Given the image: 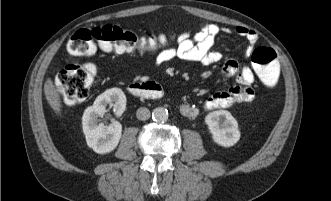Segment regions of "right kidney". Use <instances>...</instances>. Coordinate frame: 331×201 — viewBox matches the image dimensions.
Returning <instances> with one entry per match:
<instances>
[{"label":"right kidney","mask_w":331,"mask_h":201,"mask_svg":"<svg viewBox=\"0 0 331 201\" xmlns=\"http://www.w3.org/2000/svg\"><path fill=\"white\" fill-rule=\"evenodd\" d=\"M113 107L117 116H121L126 108V96L120 88H112L100 94L82 116L83 132L87 145L98 154L112 152L118 145L122 135V125L113 121L108 126L99 123V117L107 112L106 107Z\"/></svg>","instance_id":"ca27d5eb"}]
</instances>
